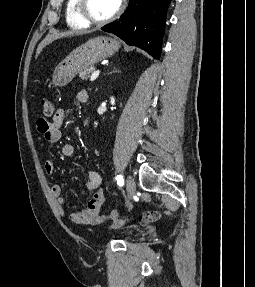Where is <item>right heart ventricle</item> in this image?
<instances>
[{"label": "right heart ventricle", "instance_id": "e07e8e85", "mask_svg": "<svg viewBox=\"0 0 255 287\" xmlns=\"http://www.w3.org/2000/svg\"><path fill=\"white\" fill-rule=\"evenodd\" d=\"M84 39H89V38H84ZM82 48H92V47H82Z\"/></svg>", "mask_w": 255, "mask_h": 287}]
</instances>
